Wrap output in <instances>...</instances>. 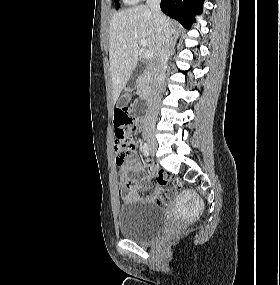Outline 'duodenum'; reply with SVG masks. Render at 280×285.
<instances>
[{"label":"duodenum","mask_w":280,"mask_h":285,"mask_svg":"<svg viewBox=\"0 0 280 285\" xmlns=\"http://www.w3.org/2000/svg\"><path fill=\"white\" fill-rule=\"evenodd\" d=\"M151 65H153V61H151Z\"/></svg>","instance_id":"duodenum-1"}]
</instances>
